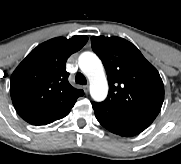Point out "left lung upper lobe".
Instances as JSON below:
<instances>
[{"label":"left lung upper lobe","instance_id":"obj_1","mask_svg":"<svg viewBox=\"0 0 181 164\" xmlns=\"http://www.w3.org/2000/svg\"><path fill=\"white\" fill-rule=\"evenodd\" d=\"M91 41L93 51L104 64L109 83L107 98L97 104L151 124L164 101V85L156 68L125 39L92 36Z\"/></svg>","mask_w":181,"mask_h":164}]
</instances>
